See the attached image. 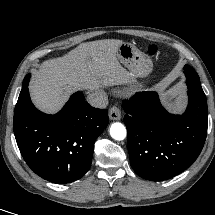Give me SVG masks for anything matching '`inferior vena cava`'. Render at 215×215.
<instances>
[{
	"mask_svg": "<svg viewBox=\"0 0 215 215\" xmlns=\"http://www.w3.org/2000/svg\"><path fill=\"white\" fill-rule=\"evenodd\" d=\"M87 102L96 108H106L108 105V96L105 92H92L87 96Z\"/></svg>",
	"mask_w": 215,
	"mask_h": 215,
	"instance_id": "602c4592",
	"label": "inferior vena cava"
}]
</instances>
